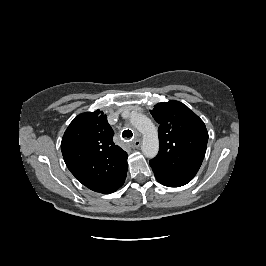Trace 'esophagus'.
<instances>
[{
	"mask_svg": "<svg viewBox=\"0 0 266 266\" xmlns=\"http://www.w3.org/2000/svg\"><path fill=\"white\" fill-rule=\"evenodd\" d=\"M141 145V140L140 139H136L132 142V146L135 147V148H138L140 147Z\"/></svg>",
	"mask_w": 266,
	"mask_h": 266,
	"instance_id": "34e87169",
	"label": "esophagus"
}]
</instances>
